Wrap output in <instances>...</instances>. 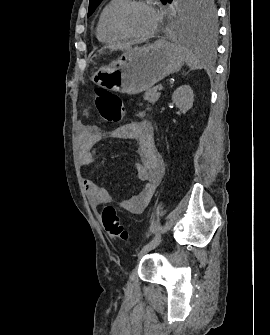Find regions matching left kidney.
Wrapping results in <instances>:
<instances>
[{
  "label": "left kidney",
  "instance_id": "1",
  "mask_svg": "<svg viewBox=\"0 0 270 335\" xmlns=\"http://www.w3.org/2000/svg\"><path fill=\"white\" fill-rule=\"evenodd\" d=\"M172 100L176 108H179L180 112L186 114L187 110H190V108L193 106V90H191L190 86H180V88L175 90L172 96Z\"/></svg>",
  "mask_w": 270,
  "mask_h": 335
}]
</instances>
